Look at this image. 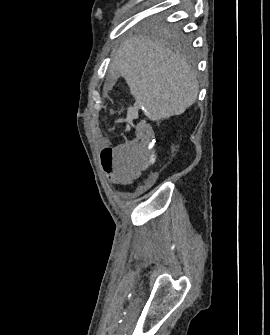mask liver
<instances>
[{"label": "liver", "mask_w": 270, "mask_h": 335, "mask_svg": "<svg viewBox=\"0 0 270 335\" xmlns=\"http://www.w3.org/2000/svg\"><path fill=\"white\" fill-rule=\"evenodd\" d=\"M111 72L125 78L149 120L180 116L197 100L198 80L184 56L150 36L126 38L114 52Z\"/></svg>", "instance_id": "liver-1"}]
</instances>
